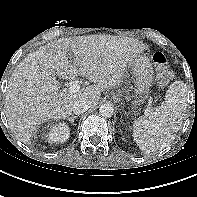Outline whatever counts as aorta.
<instances>
[{
  "instance_id": "aorta-1",
  "label": "aorta",
  "mask_w": 197,
  "mask_h": 197,
  "mask_svg": "<svg viewBox=\"0 0 197 197\" xmlns=\"http://www.w3.org/2000/svg\"><path fill=\"white\" fill-rule=\"evenodd\" d=\"M114 108L111 104H102L99 108V114L104 118H110L113 115Z\"/></svg>"
}]
</instances>
